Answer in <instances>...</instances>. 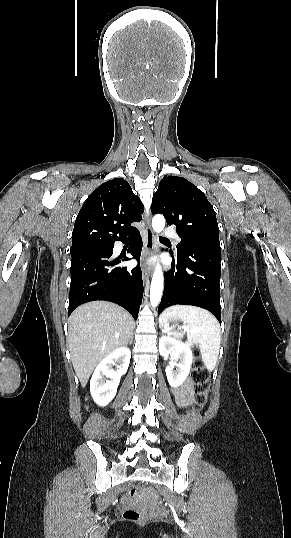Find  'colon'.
I'll return each mask as SVG.
<instances>
[{
    "label": "colon",
    "instance_id": "5ec220e1",
    "mask_svg": "<svg viewBox=\"0 0 291 538\" xmlns=\"http://www.w3.org/2000/svg\"><path fill=\"white\" fill-rule=\"evenodd\" d=\"M192 380L195 385V395L193 405L189 409V414L194 415L205 405L209 391V374L199 361L195 363V368L192 373ZM138 493L139 491L136 487H130L126 492L129 498H135ZM124 518L133 522H141L145 520V517L141 513L133 509L125 510Z\"/></svg>",
    "mask_w": 291,
    "mask_h": 538
}]
</instances>
